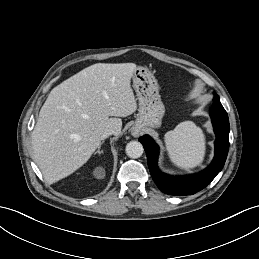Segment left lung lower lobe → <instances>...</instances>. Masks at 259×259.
<instances>
[{"instance_id": "left-lung-lower-lobe-1", "label": "left lung lower lobe", "mask_w": 259, "mask_h": 259, "mask_svg": "<svg viewBox=\"0 0 259 259\" xmlns=\"http://www.w3.org/2000/svg\"><path fill=\"white\" fill-rule=\"evenodd\" d=\"M210 116L214 132L215 155L212 163L204 171L187 176L173 177L162 173L157 166L158 146L153 139L144 135L139 138L147 154V161L152 178L158 188L170 195H192L204 189L222 170L229 150V120L219 96L214 94Z\"/></svg>"}]
</instances>
